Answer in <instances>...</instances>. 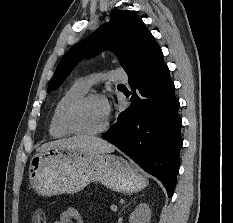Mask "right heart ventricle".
Returning <instances> with one entry per match:
<instances>
[{
    "instance_id": "right-heart-ventricle-1",
    "label": "right heart ventricle",
    "mask_w": 233,
    "mask_h": 223,
    "mask_svg": "<svg viewBox=\"0 0 233 223\" xmlns=\"http://www.w3.org/2000/svg\"><path fill=\"white\" fill-rule=\"evenodd\" d=\"M86 92L87 89L77 81L66 89L58 98L49 121V134L52 138L59 139L72 135L64 125V113L74 100L84 96Z\"/></svg>"
}]
</instances>
